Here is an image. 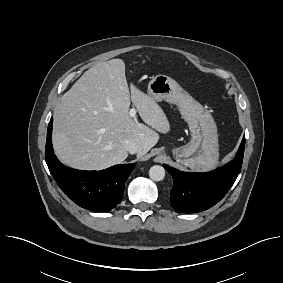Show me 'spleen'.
<instances>
[{"label":"spleen","instance_id":"3e777b00","mask_svg":"<svg viewBox=\"0 0 283 283\" xmlns=\"http://www.w3.org/2000/svg\"><path fill=\"white\" fill-rule=\"evenodd\" d=\"M216 165V164H215ZM215 165H213V166H210L208 169H206V170H209V169H211V168H213ZM205 171V170H204Z\"/></svg>","mask_w":283,"mask_h":283}]
</instances>
